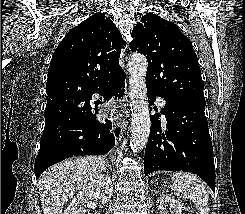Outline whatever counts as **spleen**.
I'll return each mask as SVG.
<instances>
[{"mask_svg":"<svg viewBox=\"0 0 245 214\" xmlns=\"http://www.w3.org/2000/svg\"><path fill=\"white\" fill-rule=\"evenodd\" d=\"M171 189L178 198L192 200L197 214H209V197L203 182L192 173L173 174Z\"/></svg>","mask_w":245,"mask_h":214,"instance_id":"1","label":"spleen"}]
</instances>
